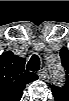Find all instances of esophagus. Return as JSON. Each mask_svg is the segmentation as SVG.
Wrapping results in <instances>:
<instances>
[{"mask_svg":"<svg viewBox=\"0 0 69 101\" xmlns=\"http://www.w3.org/2000/svg\"><path fill=\"white\" fill-rule=\"evenodd\" d=\"M38 76L40 79L45 80L47 78V70L45 68L41 69Z\"/></svg>","mask_w":69,"mask_h":101,"instance_id":"1","label":"esophagus"}]
</instances>
